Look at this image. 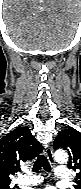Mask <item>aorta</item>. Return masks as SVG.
I'll use <instances>...</instances> for the list:
<instances>
[{"label":"aorta","instance_id":"1","mask_svg":"<svg viewBox=\"0 0 81 189\" xmlns=\"http://www.w3.org/2000/svg\"><path fill=\"white\" fill-rule=\"evenodd\" d=\"M54 157L59 163H66L68 161V154L64 150H57L54 154Z\"/></svg>","mask_w":81,"mask_h":189}]
</instances>
